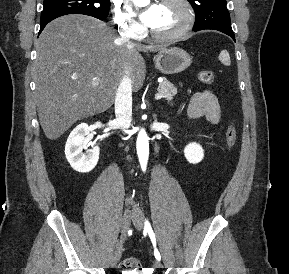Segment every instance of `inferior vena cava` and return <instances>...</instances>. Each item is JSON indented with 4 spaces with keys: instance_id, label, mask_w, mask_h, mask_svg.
<instances>
[{
    "instance_id": "obj_1",
    "label": "inferior vena cava",
    "mask_w": 289,
    "mask_h": 274,
    "mask_svg": "<svg viewBox=\"0 0 289 274\" xmlns=\"http://www.w3.org/2000/svg\"><path fill=\"white\" fill-rule=\"evenodd\" d=\"M120 35L124 43L130 44V38L124 30L120 32ZM115 116L120 127L128 128L130 126L132 116V82L128 73L124 74L116 92Z\"/></svg>"
}]
</instances>
